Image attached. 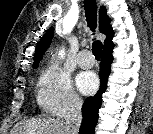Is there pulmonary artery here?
<instances>
[{
	"instance_id": "obj_1",
	"label": "pulmonary artery",
	"mask_w": 153,
	"mask_h": 134,
	"mask_svg": "<svg viewBox=\"0 0 153 134\" xmlns=\"http://www.w3.org/2000/svg\"><path fill=\"white\" fill-rule=\"evenodd\" d=\"M94 62L93 55L89 50L84 49L79 53L78 64L82 68H91L94 65Z\"/></svg>"
}]
</instances>
